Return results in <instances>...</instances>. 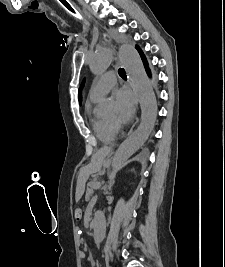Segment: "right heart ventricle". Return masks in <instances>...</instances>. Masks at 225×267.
<instances>
[{
  "instance_id": "e07e8e85",
  "label": "right heart ventricle",
  "mask_w": 225,
  "mask_h": 267,
  "mask_svg": "<svg viewBox=\"0 0 225 267\" xmlns=\"http://www.w3.org/2000/svg\"><path fill=\"white\" fill-rule=\"evenodd\" d=\"M93 103L96 100L91 99ZM90 121L92 129L97 138L102 142H111L115 136V131L110 127V123L99 116L94 108L90 109Z\"/></svg>"
}]
</instances>
